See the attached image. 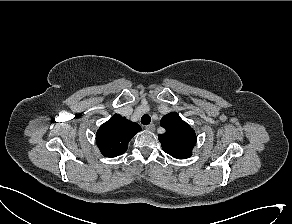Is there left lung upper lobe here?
<instances>
[{
	"instance_id": "obj_1",
	"label": "left lung upper lobe",
	"mask_w": 292,
	"mask_h": 224,
	"mask_svg": "<svg viewBox=\"0 0 292 224\" xmlns=\"http://www.w3.org/2000/svg\"><path fill=\"white\" fill-rule=\"evenodd\" d=\"M161 125L166 129L164 135L158 136L163 150L176 159L189 158L196 144L194 130L176 112L165 115Z\"/></svg>"
}]
</instances>
